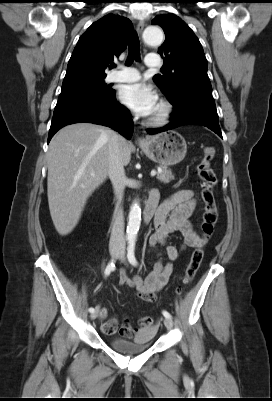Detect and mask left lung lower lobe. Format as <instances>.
<instances>
[{
  "mask_svg": "<svg viewBox=\"0 0 272 401\" xmlns=\"http://www.w3.org/2000/svg\"><path fill=\"white\" fill-rule=\"evenodd\" d=\"M174 107L171 122L158 129H148L149 134L167 131L182 125L197 124L210 128L221 138L218 114L212 96L188 94L171 103Z\"/></svg>",
  "mask_w": 272,
  "mask_h": 401,
  "instance_id": "0a47b994",
  "label": "left lung lower lobe"
}]
</instances>
